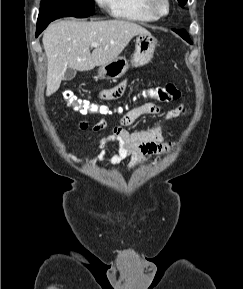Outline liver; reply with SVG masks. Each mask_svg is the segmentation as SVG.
<instances>
[{"instance_id": "liver-1", "label": "liver", "mask_w": 243, "mask_h": 289, "mask_svg": "<svg viewBox=\"0 0 243 289\" xmlns=\"http://www.w3.org/2000/svg\"><path fill=\"white\" fill-rule=\"evenodd\" d=\"M148 31L125 20L75 21L63 20L47 27L43 46L47 56L46 95L55 93L67 68L89 71L105 65L119 56L130 40ZM97 42L90 53V45Z\"/></svg>"}]
</instances>
